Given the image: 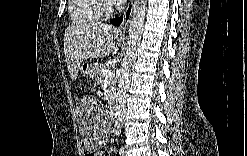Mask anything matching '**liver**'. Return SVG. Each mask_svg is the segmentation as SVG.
I'll return each instance as SVG.
<instances>
[{"label": "liver", "mask_w": 247, "mask_h": 156, "mask_svg": "<svg viewBox=\"0 0 247 156\" xmlns=\"http://www.w3.org/2000/svg\"><path fill=\"white\" fill-rule=\"evenodd\" d=\"M115 27L103 23L68 26L64 34V54L72 80H76L84 60L105 57L115 49Z\"/></svg>", "instance_id": "6515ba94"}]
</instances>
